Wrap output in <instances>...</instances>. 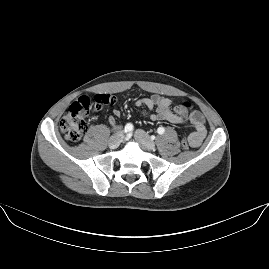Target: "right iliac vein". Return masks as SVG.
<instances>
[{"instance_id":"obj_1","label":"right iliac vein","mask_w":269,"mask_h":269,"mask_svg":"<svg viewBox=\"0 0 269 269\" xmlns=\"http://www.w3.org/2000/svg\"><path fill=\"white\" fill-rule=\"evenodd\" d=\"M121 141H122L121 134L114 135L109 139V147L115 149L121 144Z\"/></svg>"}]
</instances>
